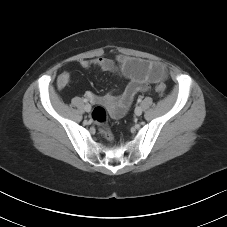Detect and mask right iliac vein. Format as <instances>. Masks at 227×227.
I'll return each mask as SVG.
<instances>
[{
	"mask_svg": "<svg viewBox=\"0 0 227 227\" xmlns=\"http://www.w3.org/2000/svg\"><path fill=\"white\" fill-rule=\"evenodd\" d=\"M86 112H90L91 111V106L89 104H86L84 107Z\"/></svg>",
	"mask_w": 227,
	"mask_h": 227,
	"instance_id": "63e3f726",
	"label": "right iliac vein"
}]
</instances>
